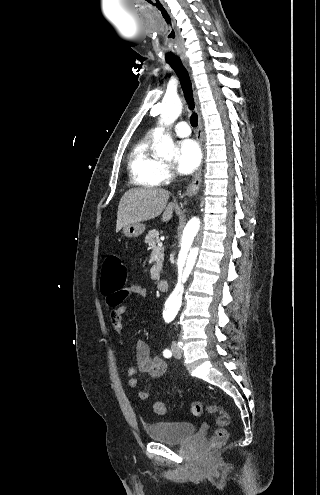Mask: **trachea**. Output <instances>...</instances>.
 Returning <instances> with one entry per match:
<instances>
[{"label":"trachea","mask_w":320,"mask_h":495,"mask_svg":"<svg viewBox=\"0 0 320 495\" xmlns=\"http://www.w3.org/2000/svg\"><path fill=\"white\" fill-rule=\"evenodd\" d=\"M168 63L173 67L179 77L185 99L188 102L189 109L192 111L190 123L193 127H196L198 125V115L194 112L195 105L192 93V83L189 74L179 60H171Z\"/></svg>","instance_id":"1"}]
</instances>
